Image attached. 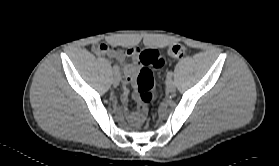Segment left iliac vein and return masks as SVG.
<instances>
[{
  "label": "left iliac vein",
  "mask_w": 279,
  "mask_h": 166,
  "mask_svg": "<svg viewBox=\"0 0 279 166\" xmlns=\"http://www.w3.org/2000/svg\"><path fill=\"white\" fill-rule=\"evenodd\" d=\"M175 83L172 79H168L166 82V89L168 92H174L175 91Z\"/></svg>",
  "instance_id": "1"
}]
</instances>
